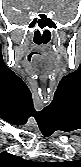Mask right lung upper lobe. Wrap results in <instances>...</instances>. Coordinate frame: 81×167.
I'll use <instances>...</instances> for the list:
<instances>
[{
	"label": "right lung upper lobe",
	"mask_w": 81,
	"mask_h": 167,
	"mask_svg": "<svg viewBox=\"0 0 81 167\" xmlns=\"http://www.w3.org/2000/svg\"><path fill=\"white\" fill-rule=\"evenodd\" d=\"M1 167H36L38 164L7 152L0 154Z\"/></svg>",
	"instance_id": "cb5924a9"
}]
</instances>
